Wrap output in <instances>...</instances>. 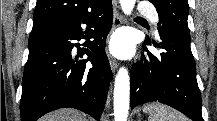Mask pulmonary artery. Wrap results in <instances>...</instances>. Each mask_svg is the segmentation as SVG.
<instances>
[{"label": "pulmonary artery", "instance_id": "e3ab8cb5", "mask_svg": "<svg viewBox=\"0 0 217 121\" xmlns=\"http://www.w3.org/2000/svg\"><path fill=\"white\" fill-rule=\"evenodd\" d=\"M139 11L142 15L149 17L154 25H157L159 18L152 7L148 5H142L139 7Z\"/></svg>", "mask_w": 217, "mask_h": 121}]
</instances>
